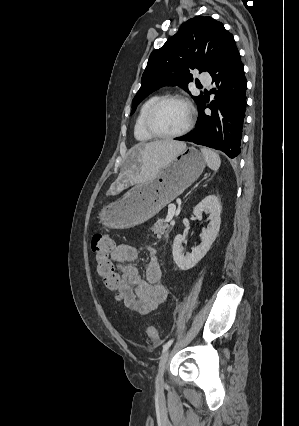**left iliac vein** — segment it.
Wrapping results in <instances>:
<instances>
[{"label":"left iliac vein","mask_w":299,"mask_h":426,"mask_svg":"<svg viewBox=\"0 0 299 426\" xmlns=\"http://www.w3.org/2000/svg\"><path fill=\"white\" fill-rule=\"evenodd\" d=\"M168 357H169V350L164 352L159 363L158 379H159L160 385L163 384L164 372H165L166 364L168 361Z\"/></svg>","instance_id":"obj_1"}]
</instances>
